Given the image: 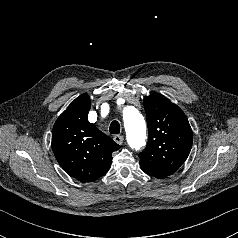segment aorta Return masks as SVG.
<instances>
[{
	"label": "aorta",
	"instance_id": "obj_1",
	"mask_svg": "<svg viewBox=\"0 0 238 238\" xmlns=\"http://www.w3.org/2000/svg\"><path fill=\"white\" fill-rule=\"evenodd\" d=\"M124 126L129 145L138 150L145 144L146 124L143 116L134 107H127L123 111Z\"/></svg>",
	"mask_w": 238,
	"mask_h": 238
}]
</instances>
